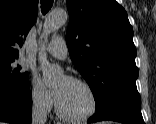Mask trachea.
Wrapping results in <instances>:
<instances>
[{"mask_svg":"<svg viewBox=\"0 0 156 124\" xmlns=\"http://www.w3.org/2000/svg\"><path fill=\"white\" fill-rule=\"evenodd\" d=\"M53 0H41V10L43 14H46L52 7Z\"/></svg>","mask_w":156,"mask_h":124,"instance_id":"obj_1","label":"trachea"}]
</instances>
